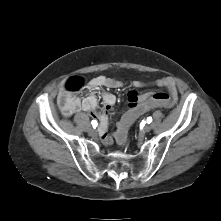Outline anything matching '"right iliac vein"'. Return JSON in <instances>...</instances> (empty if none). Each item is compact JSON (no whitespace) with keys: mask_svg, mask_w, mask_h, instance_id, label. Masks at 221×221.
<instances>
[{"mask_svg":"<svg viewBox=\"0 0 221 221\" xmlns=\"http://www.w3.org/2000/svg\"><path fill=\"white\" fill-rule=\"evenodd\" d=\"M88 133L91 134V135H94L96 133V130L93 129L92 127H89L88 128Z\"/></svg>","mask_w":221,"mask_h":221,"instance_id":"63e3f726","label":"right iliac vein"}]
</instances>
